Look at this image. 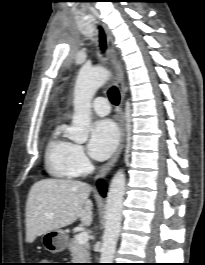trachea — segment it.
I'll list each match as a JSON object with an SVG mask.
<instances>
[{
    "label": "trachea",
    "instance_id": "3493384b",
    "mask_svg": "<svg viewBox=\"0 0 205 265\" xmlns=\"http://www.w3.org/2000/svg\"><path fill=\"white\" fill-rule=\"evenodd\" d=\"M99 36H100V47H101L102 51H104L106 49V37H105L104 31L100 27H99ZM108 96H109L110 101L114 105H118V103L120 101V93L115 86L111 87L108 90Z\"/></svg>",
    "mask_w": 205,
    "mask_h": 265
}]
</instances>
